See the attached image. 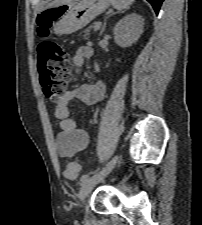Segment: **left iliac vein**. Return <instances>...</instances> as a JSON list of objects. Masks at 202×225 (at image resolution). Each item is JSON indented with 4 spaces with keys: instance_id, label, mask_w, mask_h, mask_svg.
Here are the masks:
<instances>
[{
    "instance_id": "obj_1",
    "label": "left iliac vein",
    "mask_w": 202,
    "mask_h": 225,
    "mask_svg": "<svg viewBox=\"0 0 202 225\" xmlns=\"http://www.w3.org/2000/svg\"><path fill=\"white\" fill-rule=\"evenodd\" d=\"M118 161V156H115L107 165L102 169V171L90 178H88L81 186L80 189V200L84 201L87 195L91 192L92 188L102 181L115 167Z\"/></svg>"
}]
</instances>
